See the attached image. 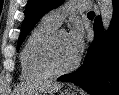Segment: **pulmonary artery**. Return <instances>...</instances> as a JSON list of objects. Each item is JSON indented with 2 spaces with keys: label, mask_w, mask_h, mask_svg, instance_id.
<instances>
[{
  "label": "pulmonary artery",
  "mask_w": 119,
  "mask_h": 95,
  "mask_svg": "<svg viewBox=\"0 0 119 95\" xmlns=\"http://www.w3.org/2000/svg\"><path fill=\"white\" fill-rule=\"evenodd\" d=\"M90 9V3L85 0L71 1L63 6L56 8L46 14V18L56 25H60L63 19L71 13L86 11Z\"/></svg>",
  "instance_id": "pulmonary-artery-1"
}]
</instances>
